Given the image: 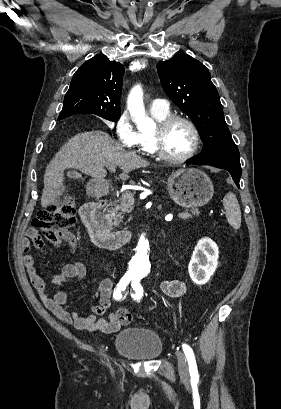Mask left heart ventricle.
Segmentation results:
<instances>
[{
    "instance_id": "obj_1",
    "label": "left heart ventricle",
    "mask_w": 281,
    "mask_h": 409,
    "mask_svg": "<svg viewBox=\"0 0 281 409\" xmlns=\"http://www.w3.org/2000/svg\"><path fill=\"white\" fill-rule=\"evenodd\" d=\"M192 144L191 131L183 122L173 123L163 137L164 150L175 157L185 155L191 149Z\"/></svg>"
}]
</instances>
